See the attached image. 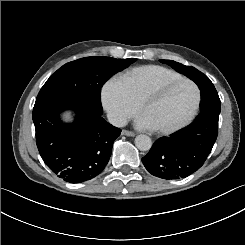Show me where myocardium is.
Wrapping results in <instances>:
<instances>
[{"label": "myocardium", "mask_w": 245, "mask_h": 245, "mask_svg": "<svg viewBox=\"0 0 245 245\" xmlns=\"http://www.w3.org/2000/svg\"><path fill=\"white\" fill-rule=\"evenodd\" d=\"M178 83H186L191 87L193 91V102H192L191 108L188 111V113L184 116V118L180 120L178 123L174 125H170V126H165V127L152 128V130L157 133L164 134V135L171 134L185 127L187 124H189L190 121L193 119L194 115L196 114L197 109L199 107L200 91L197 85L193 81L185 77H179L175 79L166 80L164 82H156V83L150 84L141 92L139 96V99L137 101L138 111L141 110L145 101L153 92L173 87L174 85Z\"/></svg>", "instance_id": "obj_1"}]
</instances>
